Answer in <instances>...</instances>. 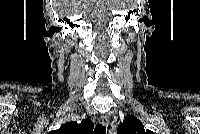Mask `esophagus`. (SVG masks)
Wrapping results in <instances>:
<instances>
[{"label": "esophagus", "instance_id": "esophagus-1", "mask_svg": "<svg viewBox=\"0 0 200 134\" xmlns=\"http://www.w3.org/2000/svg\"><path fill=\"white\" fill-rule=\"evenodd\" d=\"M100 124L102 126H108L109 124V115L108 114H103L100 117Z\"/></svg>", "mask_w": 200, "mask_h": 134}]
</instances>
